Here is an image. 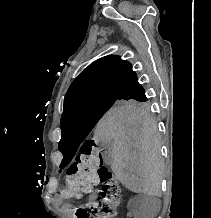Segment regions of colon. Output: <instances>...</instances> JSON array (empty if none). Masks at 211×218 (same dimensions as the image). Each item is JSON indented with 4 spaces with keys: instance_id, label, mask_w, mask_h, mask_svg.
I'll return each instance as SVG.
<instances>
[{
    "instance_id": "1",
    "label": "colon",
    "mask_w": 211,
    "mask_h": 218,
    "mask_svg": "<svg viewBox=\"0 0 211 218\" xmlns=\"http://www.w3.org/2000/svg\"><path fill=\"white\" fill-rule=\"evenodd\" d=\"M99 183H102L99 197L76 208L75 218H110L121 203V189L116 178L104 164L96 141L87 139L67 169L65 196L80 197L92 192Z\"/></svg>"
}]
</instances>
